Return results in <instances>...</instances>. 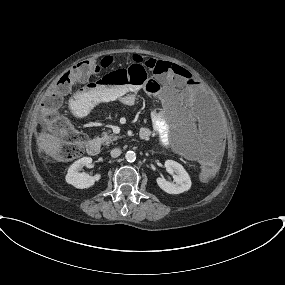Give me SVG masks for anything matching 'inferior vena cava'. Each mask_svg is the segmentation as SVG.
Instances as JSON below:
<instances>
[{"label": "inferior vena cava", "instance_id": "602c4592", "mask_svg": "<svg viewBox=\"0 0 285 285\" xmlns=\"http://www.w3.org/2000/svg\"><path fill=\"white\" fill-rule=\"evenodd\" d=\"M122 151L120 148H114L111 150L110 154H111V157L113 158H117L121 155Z\"/></svg>", "mask_w": 285, "mask_h": 285}]
</instances>
